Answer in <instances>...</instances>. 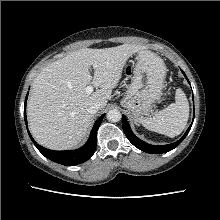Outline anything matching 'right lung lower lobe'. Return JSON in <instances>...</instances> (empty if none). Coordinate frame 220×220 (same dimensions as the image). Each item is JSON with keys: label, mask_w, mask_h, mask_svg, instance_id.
<instances>
[{"label": "right lung lower lobe", "mask_w": 220, "mask_h": 220, "mask_svg": "<svg viewBox=\"0 0 220 220\" xmlns=\"http://www.w3.org/2000/svg\"><path fill=\"white\" fill-rule=\"evenodd\" d=\"M28 96V93H27ZM27 96L25 99V106H24V118H25V123L27 125V117H26V100H27ZM104 114L95 122L89 139L86 142V144L84 146H82L79 149L76 150H69V151H53V150H49L46 149L40 145H38L35 140L32 138L31 134L29 133V136L31 138V140L33 141V143L35 144V146L37 147V149L48 159L65 165V166H73V165H77L80 163H83L85 161H87L89 158L92 157V155L95 152L96 149V142H97V130L102 122V118H103Z\"/></svg>", "instance_id": "1"}]
</instances>
